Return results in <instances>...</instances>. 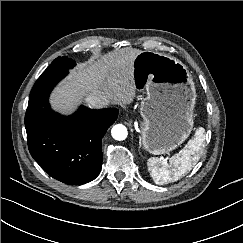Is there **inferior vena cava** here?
<instances>
[{
  "label": "inferior vena cava",
  "instance_id": "inferior-vena-cava-1",
  "mask_svg": "<svg viewBox=\"0 0 243 243\" xmlns=\"http://www.w3.org/2000/svg\"><path fill=\"white\" fill-rule=\"evenodd\" d=\"M85 100L89 107L95 109L104 108L110 103L109 97L101 91L90 93Z\"/></svg>",
  "mask_w": 243,
  "mask_h": 243
}]
</instances>
